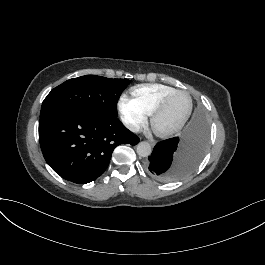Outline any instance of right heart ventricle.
<instances>
[{
	"label": "right heart ventricle",
	"instance_id": "right-heart-ventricle-1",
	"mask_svg": "<svg viewBox=\"0 0 265 265\" xmlns=\"http://www.w3.org/2000/svg\"><path fill=\"white\" fill-rule=\"evenodd\" d=\"M174 88L160 85L150 84L134 88L132 94L136 101L140 103L148 114H152L157 102L167 93L173 91Z\"/></svg>",
	"mask_w": 265,
	"mask_h": 265
}]
</instances>
